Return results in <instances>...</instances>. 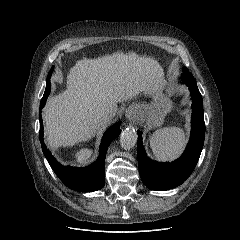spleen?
Returning a JSON list of instances; mask_svg holds the SVG:
<instances>
[{"mask_svg": "<svg viewBox=\"0 0 240 240\" xmlns=\"http://www.w3.org/2000/svg\"><path fill=\"white\" fill-rule=\"evenodd\" d=\"M184 144V131L178 127L157 130L150 138L153 154L158 160L174 159L180 154Z\"/></svg>", "mask_w": 240, "mask_h": 240, "instance_id": "spleen-1", "label": "spleen"}]
</instances>
